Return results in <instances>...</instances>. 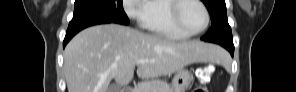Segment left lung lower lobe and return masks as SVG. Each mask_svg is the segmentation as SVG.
<instances>
[{
	"label": "left lung lower lobe",
	"instance_id": "left-lung-lower-lobe-1",
	"mask_svg": "<svg viewBox=\"0 0 296 92\" xmlns=\"http://www.w3.org/2000/svg\"><path fill=\"white\" fill-rule=\"evenodd\" d=\"M222 46L225 47L230 52V54L233 56V54H234V45L233 44H231V45L224 44Z\"/></svg>",
	"mask_w": 296,
	"mask_h": 92
}]
</instances>
